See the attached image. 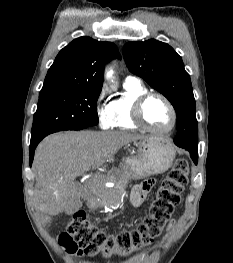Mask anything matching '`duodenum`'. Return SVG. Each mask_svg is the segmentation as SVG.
<instances>
[{
	"label": "duodenum",
	"mask_w": 233,
	"mask_h": 263,
	"mask_svg": "<svg viewBox=\"0 0 233 263\" xmlns=\"http://www.w3.org/2000/svg\"><path fill=\"white\" fill-rule=\"evenodd\" d=\"M87 205L89 209H96L98 207L97 200L94 197H89L87 199Z\"/></svg>",
	"instance_id": "410a0bca"
}]
</instances>
